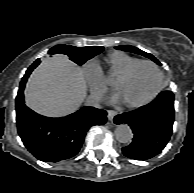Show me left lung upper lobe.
Returning a JSON list of instances; mask_svg holds the SVG:
<instances>
[{"mask_svg":"<svg viewBox=\"0 0 194 193\" xmlns=\"http://www.w3.org/2000/svg\"><path fill=\"white\" fill-rule=\"evenodd\" d=\"M116 49H119V50H123V51H128V52H133V53H136V54H140V55H143L147 58H150L151 60H153L154 62H156L158 65H160V62L151 54L149 53H146L136 47H133V46H128V45H121V46H117Z\"/></svg>","mask_w":194,"mask_h":193,"instance_id":"obj_1","label":"left lung upper lobe"}]
</instances>
